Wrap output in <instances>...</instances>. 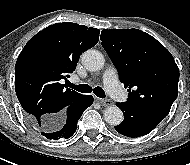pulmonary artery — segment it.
<instances>
[{
	"label": "pulmonary artery",
	"mask_w": 190,
	"mask_h": 165,
	"mask_svg": "<svg viewBox=\"0 0 190 165\" xmlns=\"http://www.w3.org/2000/svg\"><path fill=\"white\" fill-rule=\"evenodd\" d=\"M103 83L110 96L117 100L123 99L124 93L118 83V76L115 69L109 68L104 72Z\"/></svg>",
	"instance_id": "pulmonary-artery-1"
}]
</instances>
